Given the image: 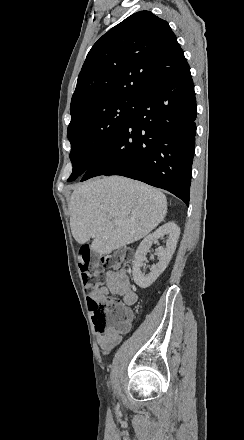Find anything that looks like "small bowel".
Segmentation results:
<instances>
[{"label": "small bowel", "mask_w": 244, "mask_h": 440, "mask_svg": "<svg viewBox=\"0 0 244 440\" xmlns=\"http://www.w3.org/2000/svg\"><path fill=\"white\" fill-rule=\"evenodd\" d=\"M110 294L121 297L122 304L130 303L133 305L136 302L137 295L131 286L125 270L106 271L103 277V284L89 294L88 301L90 299L103 300ZM97 340L101 349L108 353L121 342L122 338H112V335H107L105 332L99 335Z\"/></svg>", "instance_id": "1"}]
</instances>
